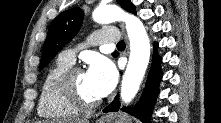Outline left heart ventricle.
Instances as JSON below:
<instances>
[{
    "mask_svg": "<svg viewBox=\"0 0 221 123\" xmlns=\"http://www.w3.org/2000/svg\"><path fill=\"white\" fill-rule=\"evenodd\" d=\"M76 87L81 96L87 101H95L101 97L96 92L86 72L78 74L75 79Z\"/></svg>",
    "mask_w": 221,
    "mask_h": 123,
    "instance_id": "b2bd125f",
    "label": "left heart ventricle"
}]
</instances>
